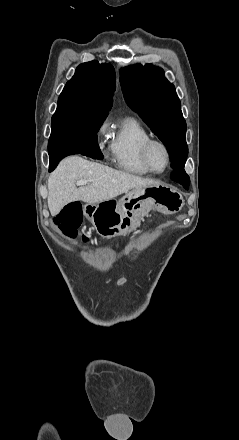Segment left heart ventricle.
Wrapping results in <instances>:
<instances>
[{"instance_id": "left-heart-ventricle-1", "label": "left heart ventricle", "mask_w": 239, "mask_h": 440, "mask_svg": "<svg viewBox=\"0 0 239 440\" xmlns=\"http://www.w3.org/2000/svg\"><path fill=\"white\" fill-rule=\"evenodd\" d=\"M151 160L153 167L157 171H163L167 165L165 151L160 146H154L151 151Z\"/></svg>"}]
</instances>
